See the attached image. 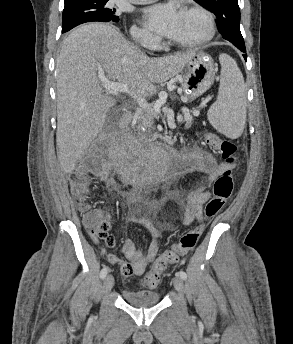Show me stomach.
<instances>
[{
    "mask_svg": "<svg viewBox=\"0 0 293 344\" xmlns=\"http://www.w3.org/2000/svg\"><path fill=\"white\" fill-rule=\"evenodd\" d=\"M216 66L211 57L203 52L195 55L176 75L182 90L190 99H195L206 92L214 82Z\"/></svg>",
    "mask_w": 293,
    "mask_h": 344,
    "instance_id": "1",
    "label": "stomach"
}]
</instances>
